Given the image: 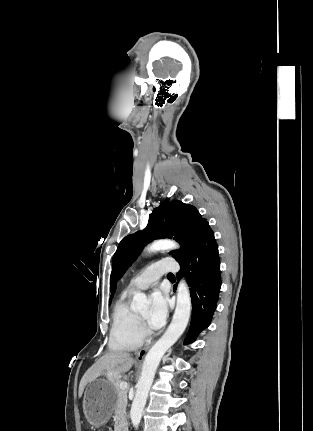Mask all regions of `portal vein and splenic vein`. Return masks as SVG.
Returning <instances> with one entry per match:
<instances>
[{
	"label": "portal vein and splenic vein",
	"mask_w": 313,
	"mask_h": 431,
	"mask_svg": "<svg viewBox=\"0 0 313 431\" xmlns=\"http://www.w3.org/2000/svg\"><path fill=\"white\" fill-rule=\"evenodd\" d=\"M119 387H120L122 390H127V388H128V383H127V382H125V381H122V382H120Z\"/></svg>",
	"instance_id": "18ae733b"
}]
</instances>
